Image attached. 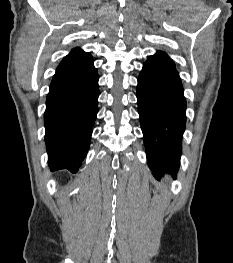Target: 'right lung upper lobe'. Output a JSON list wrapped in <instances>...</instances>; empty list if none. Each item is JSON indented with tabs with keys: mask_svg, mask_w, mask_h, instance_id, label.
<instances>
[{
	"mask_svg": "<svg viewBox=\"0 0 233 263\" xmlns=\"http://www.w3.org/2000/svg\"><path fill=\"white\" fill-rule=\"evenodd\" d=\"M93 64L92 56L80 48L73 49L57 67L56 72H77L82 71Z\"/></svg>",
	"mask_w": 233,
	"mask_h": 263,
	"instance_id": "right-lung-upper-lobe-1",
	"label": "right lung upper lobe"
}]
</instances>
